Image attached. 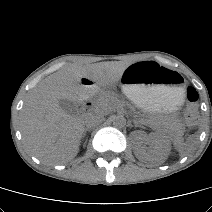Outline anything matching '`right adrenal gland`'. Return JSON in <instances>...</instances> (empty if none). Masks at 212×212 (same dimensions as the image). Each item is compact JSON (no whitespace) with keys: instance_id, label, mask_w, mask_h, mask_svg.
Masks as SVG:
<instances>
[{"instance_id":"2a0ac1e0","label":"right adrenal gland","mask_w":212,"mask_h":212,"mask_svg":"<svg viewBox=\"0 0 212 212\" xmlns=\"http://www.w3.org/2000/svg\"><path fill=\"white\" fill-rule=\"evenodd\" d=\"M88 130H91V129H90V128H85L84 133H83V137L86 136V132H87Z\"/></svg>"}]
</instances>
